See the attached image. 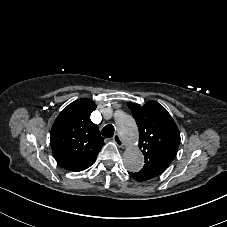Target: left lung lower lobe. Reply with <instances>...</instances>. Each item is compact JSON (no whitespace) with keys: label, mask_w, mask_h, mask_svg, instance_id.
Wrapping results in <instances>:
<instances>
[{"label":"left lung lower lobe","mask_w":227,"mask_h":227,"mask_svg":"<svg viewBox=\"0 0 227 227\" xmlns=\"http://www.w3.org/2000/svg\"><path fill=\"white\" fill-rule=\"evenodd\" d=\"M129 173V175L133 178V179H135V180H137V181H145L146 179H143V178H141V177H139V176H137L135 173H131V172H128Z\"/></svg>","instance_id":"0a47b994"}]
</instances>
